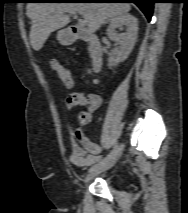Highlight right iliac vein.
Instances as JSON below:
<instances>
[{
    "label": "right iliac vein",
    "instance_id": "obj_1",
    "mask_svg": "<svg viewBox=\"0 0 188 213\" xmlns=\"http://www.w3.org/2000/svg\"><path fill=\"white\" fill-rule=\"evenodd\" d=\"M122 150H123V146L119 145L118 148L116 149L115 153L113 154V156L107 162H105L104 164L100 165L99 167L95 168L94 170H92L91 172H89L87 174V176L84 180V183L87 184L89 181H91L97 175L112 168L116 164L118 159L120 158V156L122 154Z\"/></svg>",
    "mask_w": 188,
    "mask_h": 213
}]
</instances>
